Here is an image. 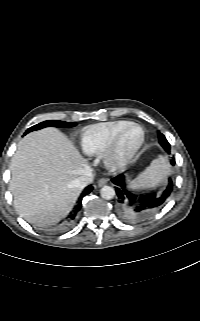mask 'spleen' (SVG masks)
<instances>
[{
  "mask_svg": "<svg viewBox=\"0 0 200 321\" xmlns=\"http://www.w3.org/2000/svg\"><path fill=\"white\" fill-rule=\"evenodd\" d=\"M170 173V165L166 156L160 155L154 159L142 173H140L129 184L134 190L155 189L158 185L165 182Z\"/></svg>",
  "mask_w": 200,
  "mask_h": 321,
  "instance_id": "obj_1",
  "label": "spleen"
}]
</instances>
